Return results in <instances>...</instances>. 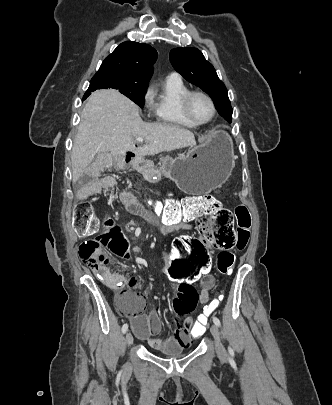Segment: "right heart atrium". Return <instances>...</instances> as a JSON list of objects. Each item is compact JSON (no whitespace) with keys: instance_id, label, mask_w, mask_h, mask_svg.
<instances>
[{"instance_id":"d8ad5b80","label":"right heart atrium","mask_w":332,"mask_h":405,"mask_svg":"<svg viewBox=\"0 0 332 405\" xmlns=\"http://www.w3.org/2000/svg\"><path fill=\"white\" fill-rule=\"evenodd\" d=\"M144 101L147 106H151V90L147 89L144 95Z\"/></svg>"}]
</instances>
